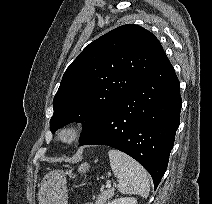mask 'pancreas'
Here are the masks:
<instances>
[{
    "label": "pancreas",
    "mask_w": 212,
    "mask_h": 204,
    "mask_svg": "<svg viewBox=\"0 0 212 204\" xmlns=\"http://www.w3.org/2000/svg\"><path fill=\"white\" fill-rule=\"evenodd\" d=\"M115 194V189L110 188L102 191L97 197L94 198L95 204H106V201L111 199Z\"/></svg>",
    "instance_id": "cf45deb5"
}]
</instances>
